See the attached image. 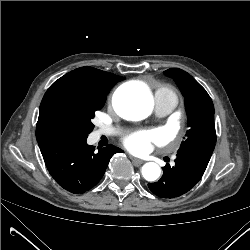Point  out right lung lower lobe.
<instances>
[{
    "instance_id": "1",
    "label": "right lung lower lobe",
    "mask_w": 250,
    "mask_h": 250,
    "mask_svg": "<svg viewBox=\"0 0 250 250\" xmlns=\"http://www.w3.org/2000/svg\"><path fill=\"white\" fill-rule=\"evenodd\" d=\"M87 135L64 134L38 141L49 173L67 191L84 193L103 177L111 157L121 149L113 145L94 152Z\"/></svg>"
}]
</instances>
